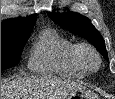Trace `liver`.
<instances>
[{
  "instance_id": "6515ba94",
  "label": "liver",
  "mask_w": 115,
  "mask_h": 99,
  "mask_svg": "<svg viewBox=\"0 0 115 99\" xmlns=\"http://www.w3.org/2000/svg\"><path fill=\"white\" fill-rule=\"evenodd\" d=\"M82 88V84L62 78L19 77L1 81V99H63Z\"/></svg>"
}]
</instances>
